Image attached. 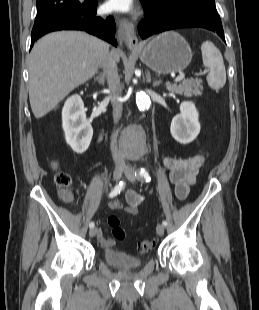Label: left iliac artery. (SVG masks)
<instances>
[{
	"label": "left iliac artery",
	"instance_id": "1",
	"mask_svg": "<svg viewBox=\"0 0 259 310\" xmlns=\"http://www.w3.org/2000/svg\"><path fill=\"white\" fill-rule=\"evenodd\" d=\"M136 176H137L138 179H142V178H143L146 182H150V180H151V178H150V176H149V173H148L147 170L144 169V168H141L140 170H138V171L136 172ZM162 224H163L164 226H166V225H167V222L164 220V221L162 222Z\"/></svg>",
	"mask_w": 259,
	"mask_h": 310
}]
</instances>
